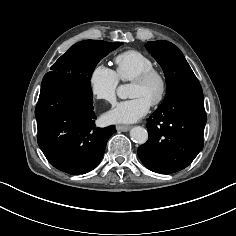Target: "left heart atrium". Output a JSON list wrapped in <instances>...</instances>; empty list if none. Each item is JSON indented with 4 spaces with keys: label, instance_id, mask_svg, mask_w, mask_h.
Listing matches in <instances>:
<instances>
[{
    "label": "left heart atrium",
    "instance_id": "left-heart-atrium-1",
    "mask_svg": "<svg viewBox=\"0 0 236 236\" xmlns=\"http://www.w3.org/2000/svg\"><path fill=\"white\" fill-rule=\"evenodd\" d=\"M151 104L143 97L136 96L118 103L105 114L109 123H132L147 114Z\"/></svg>",
    "mask_w": 236,
    "mask_h": 236
}]
</instances>
